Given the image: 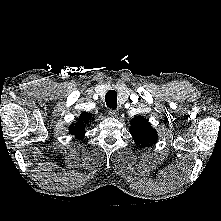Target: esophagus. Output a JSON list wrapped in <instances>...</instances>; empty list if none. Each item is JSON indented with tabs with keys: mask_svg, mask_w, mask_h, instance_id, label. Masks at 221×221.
Segmentation results:
<instances>
[{
	"mask_svg": "<svg viewBox=\"0 0 221 221\" xmlns=\"http://www.w3.org/2000/svg\"><path fill=\"white\" fill-rule=\"evenodd\" d=\"M109 115L111 117H117L119 115V111L115 110V109H111V110H109Z\"/></svg>",
	"mask_w": 221,
	"mask_h": 221,
	"instance_id": "1",
	"label": "esophagus"
}]
</instances>
